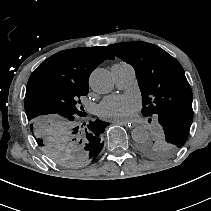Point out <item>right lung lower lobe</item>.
<instances>
[{"label":"right lung lower lobe","instance_id":"98d812e1","mask_svg":"<svg viewBox=\"0 0 211 211\" xmlns=\"http://www.w3.org/2000/svg\"><path fill=\"white\" fill-rule=\"evenodd\" d=\"M104 143L100 141V143H98L92 150V156L94 159H96V157L99 155V153L101 152L102 148H103Z\"/></svg>","mask_w":211,"mask_h":211}]
</instances>
